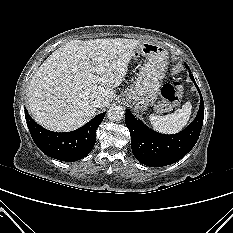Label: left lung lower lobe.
<instances>
[{
    "instance_id": "1",
    "label": "left lung lower lobe",
    "mask_w": 233,
    "mask_h": 233,
    "mask_svg": "<svg viewBox=\"0 0 233 233\" xmlns=\"http://www.w3.org/2000/svg\"><path fill=\"white\" fill-rule=\"evenodd\" d=\"M186 68L189 67L186 65ZM189 76L198 88L189 69ZM201 100L199 111L194 121L179 133L165 135L155 132L137 119L126 109L125 122L131 135V147L135 158L151 167H162L182 159L196 144L204 119V102Z\"/></svg>"
}]
</instances>
